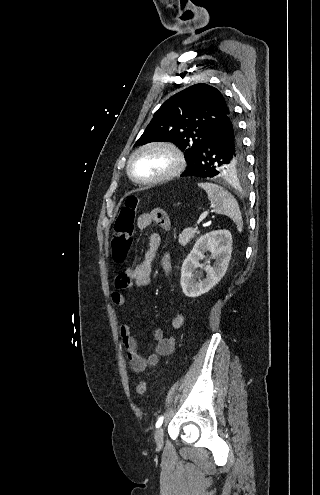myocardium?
Wrapping results in <instances>:
<instances>
[{
	"instance_id": "1",
	"label": "myocardium",
	"mask_w": 320,
	"mask_h": 495,
	"mask_svg": "<svg viewBox=\"0 0 320 495\" xmlns=\"http://www.w3.org/2000/svg\"><path fill=\"white\" fill-rule=\"evenodd\" d=\"M150 150H163L167 153H169L173 159V166L170 170L167 172L161 174L160 176L150 178V179H141L137 177L133 170H132V164L135 158L146 151ZM185 167V159L183 156V153L181 150L174 145L171 142L168 141H152L149 143H146L144 145H141L137 149H135L132 154L130 155L128 161H127V173L128 176L136 183L141 184V185H156L160 184L169 180H172L176 176H178L184 169Z\"/></svg>"
}]
</instances>
